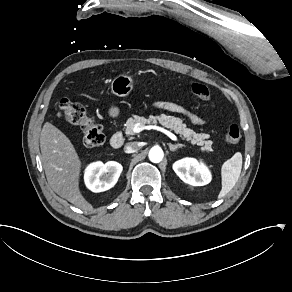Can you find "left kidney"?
Masks as SVG:
<instances>
[{
    "label": "left kidney",
    "instance_id": "left-kidney-1",
    "mask_svg": "<svg viewBox=\"0 0 292 292\" xmlns=\"http://www.w3.org/2000/svg\"><path fill=\"white\" fill-rule=\"evenodd\" d=\"M173 170L185 183L193 186H203L210 182V173L201 167L196 160L183 159L173 165Z\"/></svg>",
    "mask_w": 292,
    "mask_h": 292
}]
</instances>
